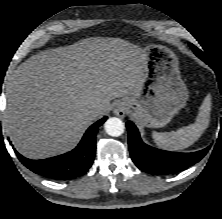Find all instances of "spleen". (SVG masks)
I'll use <instances>...</instances> for the list:
<instances>
[{"instance_id":"spleen-1","label":"spleen","mask_w":222,"mask_h":219,"mask_svg":"<svg viewBox=\"0 0 222 219\" xmlns=\"http://www.w3.org/2000/svg\"><path fill=\"white\" fill-rule=\"evenodd\" d=\"M211 96L207 95L199 108L197 119L193 124L179 128L177 131L171 132H153L152 137L155 143L166 150L178 151L191 146L196 142L210 121Z\"/></svg>"}]
</instances>
